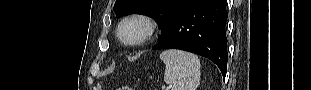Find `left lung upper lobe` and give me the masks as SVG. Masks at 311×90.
I'll use <instances>...</instances> for the list:
<instances>
[{"mask_svg": "<svg viewBox=\"0 0 311 90\" xmlns=\"http://www.w3.org/2000/svg\"><path fill=\"white\" fill-rule=\"evenodd\" d=\"M198 0H116L114 12L116 17L131 13L144 14L159 22L161 36L167 34L178 16Z\"/></svg>", "mask_w": 311, "mask_h": 90, "instance_id": "obj_1", "label": "left lung upper lobe"}]
</instances>
